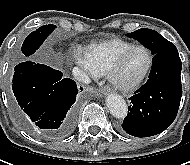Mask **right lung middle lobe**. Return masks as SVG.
<instances>
[{
	"label": "right lung middle lobe",
	"mask_w": 190,
	"mask_h": 165,
	"mask_svg": "<svg viewBox=\"0 0 190 165\" xmlns=\"http://www.w3.org/2000/svg\"><path fill=\"white\" fill-rule=\"evenodd\" d=\"M55 28V25L48 24L30 33L22 44V53L25 56L32 55Z\"/></svg>",
	"instance_id": "dd1d6c3e"
}]
</instances>
